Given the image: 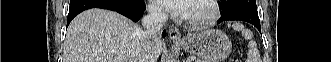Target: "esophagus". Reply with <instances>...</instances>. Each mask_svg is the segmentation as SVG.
Returning a JSON list of instances; mask_svg holds the SVG:
<instances>
[{"instance_id": "esophagus-1", "label": "esophagus", "mask_w": 331, "mask_h": 62, "mask_svg": "<svg viewBox=\"0 0 331 62\" xmlns=\"http://www.w3.org/2000/svg\"><path fill=\"white\" fill-rule=\"evenodd\" d=\"M169 37L171 40L175 41V42H180L182 41V36L179 30L175 29V28H170L169 29Z\"/></svg>"}]
</instances>
